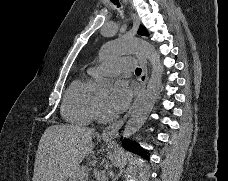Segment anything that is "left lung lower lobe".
<instances>
[{"label": "left lung lower lobe", "instance_id": "left-lung-lower-lobe-1", "mask_svg": "<svg viewBox=\"0 0 228 181\" xmlns=\"http://www.w3.org/2000/svg\"><path fill=\"white\" fill-rule=\"evenodd\" d=\"M123 146L125 149L136 152V153H140V147L135 144L134 142H130L128 140H123Z\"/></svg>", "mask_w": 228, "mask_h": 181}]
</instances>
